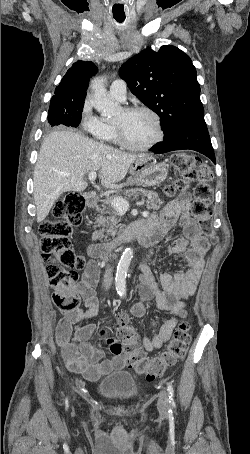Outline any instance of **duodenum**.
I'll use <instances>...</instances> for the list:
<instances>
[{
	"instance_id": "duodenum-1",
	"label": "duodenum",
	"mask_w": 250,
	"mask_h": 454,
	"mask_svg": "<svg viewBox=\"0 0 250 454\" xmlns=\"http://www.w3.org/2000/svg\"><path fill=\"white\" fill-rule=\"evenodd\" d=\"M85 203L89 208H93L96 204V197L86 195ZM140 235L138 223L126 228L119 236L108 243L97 244L91 248L92 256L100 261L109 260L115 251L124 243L128 242L132 237Z\"/></svg>"
}]
</instances>
